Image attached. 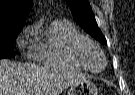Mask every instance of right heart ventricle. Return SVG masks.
<instances>
[{
    "instance_id": "obj_1",
    "label": "right heart ventricle",
    "mask_w": 135,
    "mask_h": 95,
    "mask_svg": "<svg viewBox=\"0 0 135 95\" xmlns=\"http://www.w3.org/2000/svg\"><path fill=\"white\" fill-rule=\"evenodd\" d=\"M37 43L36 59L47 68L80 71L81 67L71 56L70 46L73 41L80 39L83 34L69 21L53 20L46 26L41 23L33 29Z\"/></svg>"
}]
</instances>
